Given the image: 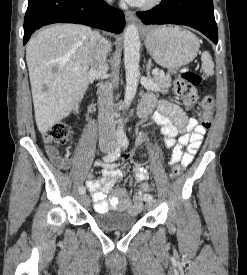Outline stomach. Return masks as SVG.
Returning a JSON list of instances; mask_svg holds the SVG:
<instances>
[{
	"label": "stomach",
	"instance_id": "0dacf381",
	"mask_svg": "<svg viewBox=\"0 0 247 275\" xmlns=\"http://www.w3.org/2000/svg\"><path fill=\"white\" fill-rule=\"evenodd\" d=\"M143 35L154 60L171 72L190 63L200 46L194 34L176 26L147 27Z\"/></svg>",
	"mask_w": 247,
	"mask_h": 275
}]
</instances>
